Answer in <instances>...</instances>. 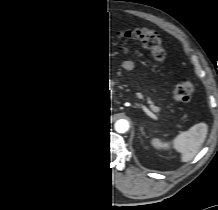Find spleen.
<instances>
[{"mask_svg":"<svg viewBox=\"0 0 218 210\" xmlns=\"http://www.w3.org/2000/svg\"><path fill=\"white\" fill-rule=\"evenodd\" d=\"M207 132V124L201 122L193 125L187 131L180 132L172 142H163L159 138H154L151 144L157 149H168L170 145H172L177 152L181 153V161L188 162L191 161L200 150L205 141Z\"/></svg>","mask_w":218,"mask_h":210,"instance_id":"obj_1","label":"spleen"}]
</instances>
